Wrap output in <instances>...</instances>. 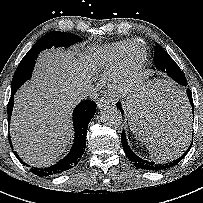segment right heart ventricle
Instances as JSON below:
<instances>
[{
	"instance_id": "e07e8e85",
	"label": "right heart ventricle",
	"mask_w": 203,
	"mask_h": 203,
	"mask_svg": "<svg viewBox=\"0 0 203 203\" xmlns=\"http://www.w3.org/2000/svg\"><path fill=\"white\" fill-rule=\"evenodd\" d=\"M130 41L124 40L91 49L85 56L87 66L93 70L112 72L121 61Z\"/></svg>"
}]
</instances>
